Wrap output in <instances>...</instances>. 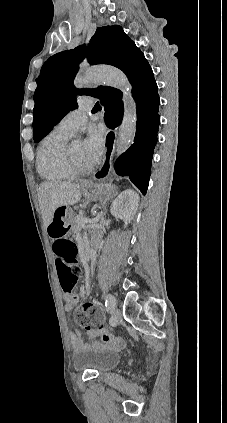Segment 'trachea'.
Returning <instances> with one entry per match:
<instances>
[{"label": "trachea", "mask_w": 227, "mask_h": 423, "mask_svg": "<svg viewBox=\"0 0 227 423\" xmlns=\"http://www.w3.org/2000/svg\"><path fill=\"white\" fill-rule=\"evenodd\" d=\"M98 110H101V106H100L99 102H97L95 104L94 108H93V111H98Z\"/></svg>", "instance_id": "obj_1"}]
</instances>
